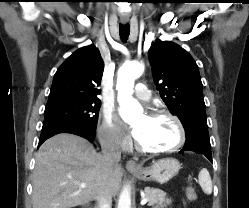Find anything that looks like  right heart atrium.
Instances as JSON below:
<instances>
[{
  "mask_svg": "<svg viewBox=\"0 0 249 208\" xmlns=\"http://www.w3.org/2000/svg\"><path fill=\"white\" fill-rule=\"evenodd\" d=\"M98 135L102 143L111 147L125 149L129 146L128 137L111 111H103Z\"/></svg>",
  "mask_w": 249,
  "mask_h": 208,
  "instance_id": "1",
  "label": "right heart atrium"
}]
</instances>
